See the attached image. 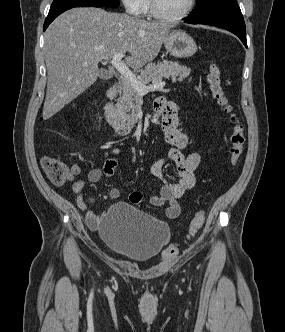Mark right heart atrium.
Returning a JSON list of instances; mask_svg holds the SVG:
<instances>
[{"instance_id":"right-heart-atrium-1","label":"right heart atrium","mask_w":285,"mask_h":332,"mask_svg":"<svg viewBox=\"0 0 285 332\" xmlns=\"http://www.w3.org/2000/svg\"><path fill=\"white\" fill-rule=\"evenodd\" d=\"M146 0H121L126 12L130 15H139L142 13Z\"/></svg>"}]
</instances>
